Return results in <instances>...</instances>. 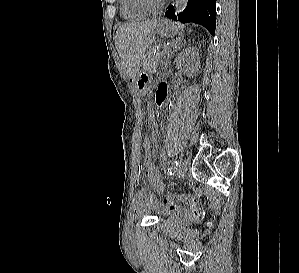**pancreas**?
Instances as JSON below:
<instances>
[{"label": "pancreas", "instance_id": "cf45deb5", "mask_svg": "<svg viewBox=\"0 0 299 273\" xmlns=\"http://www.w3.org/2000/svg\"><path fill=\"white\" fill-rule=\"evenodd\" d=\"M161 63V56L159 54H154L153 50H150L144 58L143 61V68L148 73H153L158 68L159 64Z\"/></svg>", "mask_w": 299, "mask_h": 273}]
</instances>
